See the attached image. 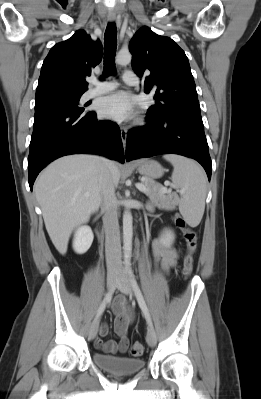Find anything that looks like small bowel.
Wrapping results in <instances>:
<instances>
[{"label": "small bowel", "instance_id": "obj_1", "mask_svg": "<svg viewBox=\"0 0 261 399\" xmlns=\"http://www.w3.org/2000/svg\"><path fill=\"white\" fill-rule=\"evenodd\" d=\"M155 206L153 201L149 202V207ZM153 257L156 262H159L163 269L169 270L172 268L178 259V252L175 248L166 245L161 239H155L152 244ZM113 313L115 315L114 329L119 337L116 343L112 340L103 341L98 338L95 342L97 348L104 353H125L129 347L128 328L133 322V314L126 304L123 296H119L113 306ZM109 333V327L103 323L99 329V336L105 337Z\"/></svg>", "mask_w": 261, "mask_h": 399}]
</instances>
